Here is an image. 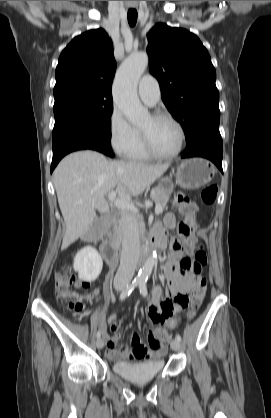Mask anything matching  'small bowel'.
Masks as SVG:
<instances>
[{
    "label": "small bowel",
    "instance_id": "obj_1",
    "mask_svg": "<svg viewBox=\"0 0 271 418\" xmlns=\"http://www.w3.org/2000/svg\"><path fill=\"white\" fill-rule=\"evenodd\" d=\"M176 219L170 215L166 219L168 227H174ZM156 230L164 232L162 227H157ZM193 239L190 240L192 243ZM182 252L180 250H173L168 257L167 263L164 267V272L167 279L166 297L162 298V293L159 288L153 292L152 301L147 308V315L151 321L153 328L149 333L148 343L141 341L137 334H132L131 346L118 345L121 338L120 327L121 321L115 315L109 317L111 323L112 336L104 333V342H106L107 350L106 356L109 359H124L142 362L147 359H155L161 357L165 353L164 340L167 339L168 333L164 326L170 328L175 327L176 317L189 304L190 293L195 294L198 279L194 276H188L180 270V260ZM78 288L89 287L88 282L78 281L76 283ZM97 296L93 293L90 298Z\"/></svg>",
    "mask_w": 271,
    "mask_h": 418
}]
</instances>
